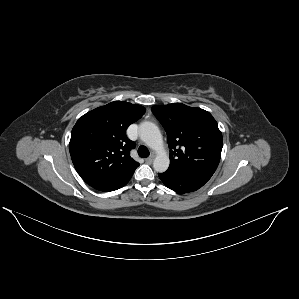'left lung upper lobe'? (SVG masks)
Returning <instances> with one entry per match:
<instances>
[{
  "instance_id": "5c2ea615",
  "label": "left lung upper lobe",
  "mask_w": 299,
  "mask_h": 299,
  "mask_svg": "<svg viewBox=\"0 0 299 299\" xmlns=\"http://www.w3.org/2000/svg\"><path fill=\"white\" fill-rule=\"evenodd\" d=\"M151 110L168 137L170 166L166 173L211 177L219 164L223 144L213 116L182 103L157 105Z\"/></svg>"
}]
</instances>
